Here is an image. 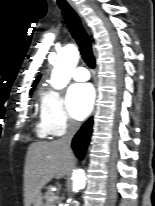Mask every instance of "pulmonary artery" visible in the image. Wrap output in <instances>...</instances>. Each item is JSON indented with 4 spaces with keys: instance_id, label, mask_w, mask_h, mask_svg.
<instances>
[{
    "instance_id": "1",
    "label": "pulmonary artery",
    "mask_w": 155,
    "mask_h": 206,
    "mask_svg": "<svg viewBox=\"0 0 155 206\" xmlns=\"http://www.w3.org/2000/svg\"><path fill=\"white\" fill-rule=\"evenodd\" d=\"M90 78V75L85 67H78L73 73V79L76 81H86Z\"/></svg>"
}]
</instances>
